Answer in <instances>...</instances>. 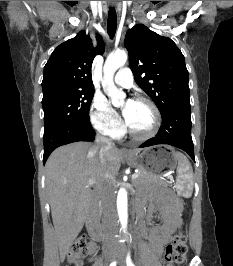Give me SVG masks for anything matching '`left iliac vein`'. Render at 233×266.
I'll use <instances>...</instances> for the list:
<instances>
[{"mask_svg":"<svg viewBox=\"0 0 233 266\" xmlns=\"http://www.w3.org/2000/svg\"><path fill=\"white\" fill-rule=\"evenodd\" d=\"M124 250L123 249H121V252H123ZM120 266H125V262H124V260H123V258H120Z\"/></svg>","mask_w":233,"mask_h":266,"instance_id":"left-iliac-vein-1","label":"left iliac vein"}]
</instances>
